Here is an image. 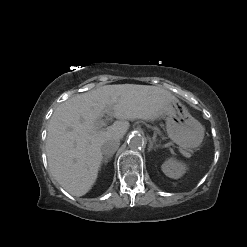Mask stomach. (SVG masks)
Masks as SVG:
<instances>
[{
	"label": "stomach",
	"instance_id": "obj_1",
	"mask_svg": "<svg viewBox=\"0 0 247 247\" xmlns=\"http://www.w3.org/2000/svg\"><path fill=\"white\" fill-rule=\"evenodd\" d=\"M165 118L168 136L181 149H194L201 145L205 129L179 100L169 103Z\"/></svg>",
	"mask_w": 247,
	"mask_h": 247
}]
</instances>
